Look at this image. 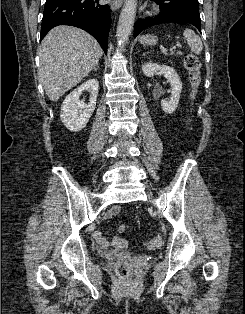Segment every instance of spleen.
Instances as JSON below:
<instances>
[{
    "mask_svg": "<svg viewBox=\"0 0 245 314\" xmlns=\"http://www.w3.org/2000/svg\"><path fill=\"white\" fill-rule=\"evenodd\" d=\"M183 36L189 45L191 52L199 55L203 49L202 41L198 35L191 29H185Z\"/></svg>",
    "mask_w": 245,
    "mask_h": 314,
    "instance_id": "3e777b00",
    "label": "spleen"
}]
</instances>
